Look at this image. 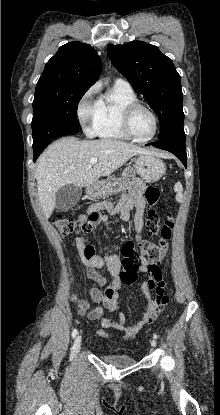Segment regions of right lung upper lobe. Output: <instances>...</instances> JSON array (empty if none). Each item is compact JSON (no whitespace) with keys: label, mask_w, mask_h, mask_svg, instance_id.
I'll return each mask as SVG.
<instances>
[{"label":"right lung upper lobe","mask_w":220,"mask_h":415,"mask_svg":"<svg viewBox=\"0 0 220 415\" xmlns=\"http://www.w3.org/2000/svg\"><path fill=\"white\" fill-rule=\"evenodd\" d=\"M101 73V61L88 44L70 42L59 48L46 63L37 84H70L92 86Z\"/></svg>","instance_id":"1"}]
</instances>
